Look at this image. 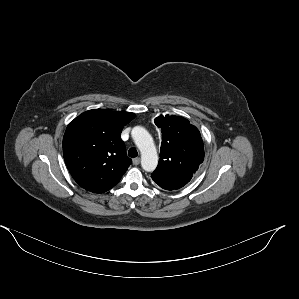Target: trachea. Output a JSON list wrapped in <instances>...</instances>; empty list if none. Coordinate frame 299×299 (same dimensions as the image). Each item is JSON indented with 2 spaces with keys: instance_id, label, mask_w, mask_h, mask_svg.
Returning a JSON list of instances; mask_svg holds the SVG:
<instances>
[{
  "instance_id": "obj_1",
  "label": "trachea",
  "mask_w": 299,
  "mask_h": 299,
  "mask_svg": "<svg viewBox=\"0 0 299 299\" xmlns=\"http://www.w3.org/2000/svg\"><path fill=\"white\" fill-rule=\"evenodd\" d=\"M128 155L132 158L137 157L138 156V152L135 148H130L128 151Z\"/></svg>"
}]
</instances>
